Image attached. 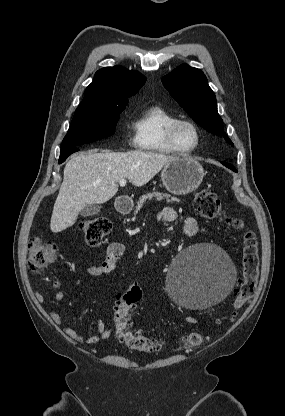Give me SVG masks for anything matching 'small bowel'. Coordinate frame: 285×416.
I'll use <instances>...</instances> for the list:
<instances>
[{
    "label": "small bowel",
    "mask_w": 285,
    "mask_h": 416,
    "mask_svg": "<svg viewBox=\"0 0 285 416\" xmlns=\"http://www.w3.org/2000/svg\"><path fill=\"white\" fill-rule=\"evenodd\" d=\"M176 218H177L176 211L170 207L164 208L159 214V219H162L163 221L168 222V223L175 221ZM203 231L204 229L200 228V226L198 225L197 221L194 218L187 217L185 219L184 226H183V232L185 235L194 236L197 233L203 232ZM123 252H124L123 244L119 242L110 243L106 249L103 261L100 264L89 266L86 269L87 274L93 277H97L102 274L112 272L116 268L117 262L119 258L122 256ZM65 296H66L65 290L61 289L55 293L54 298L56 301H61L65 298ZM36 298L40 303H43L45 300L43 294L40 292L36 293ZM49 315H50L51 320L56 325L63 324L62 317L56 310H50ZM187 321L196 322V319L194 317H187ZM97 329H98V334L92 335L89 337H85L79 334L77 331H75L74 329L68 326L63 327V332L69 338L79 343L87 344V345L97 344L100 340H108L113 335L112 330L107 328L105 323L102 320L98 321Z\"/></svg>",
    "instance_id": "obj_1"
}]
</instances>
